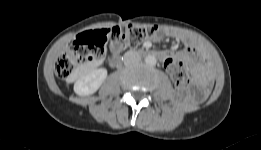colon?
<instances>
[{
    "label": "colon",
    "mask_w": 261,
    "mask_h": 150,
    "mask_svg": "<svg viewBox=\"0 0 261 150\" xmlns=\"http://www.w3.org/2000/svg\"><path fill=\"white\" fill-rule=\"evenodd\" d=\"M157 33L155 26H115L111 29H97L80 34L62 53L55 65L58 78L66 80L75 69L88 62L99 59L105 52L108 40L120 42L126 47H135L143 40ZM167 69L174 83L184 87L189 76L183 62L169 60Z\"/></svg>",
    "instance_id": "obj_1"
}]
</instances>
